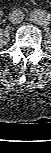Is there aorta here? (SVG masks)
Here are the masks:
<instances>
[{
    "label": "aorta",
    "mask_w": 51,
    "mask_h": 153,
    "mask_svg": "<svg viewBox=\"0 0 51 153\" xmlns=\"http://www.w3.org/2000/svg\"><path fill=\"white\" fill-rule=\"evenodd\" d=\"M30 17L32 21L41 25H46L50 21V15L45 11L41 10H32Z\"/></svg>",
    "instance_id": "aorta-1"
}]
</instances>
